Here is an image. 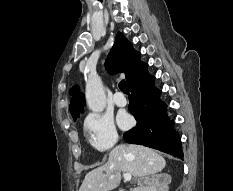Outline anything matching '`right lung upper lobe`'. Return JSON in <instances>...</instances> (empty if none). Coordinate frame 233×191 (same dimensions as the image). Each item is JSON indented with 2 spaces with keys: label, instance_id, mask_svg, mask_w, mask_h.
Returning <instances> with one entry per match:
<instances>
[{
  "label": "right lung upper lobe",
  "instance_id": "right-lung-upper-lobe-1",
  "mask_svg": "<svg viewBox=\"0 0 233 191\" xmlns=\"http://www.w3.org/2000/svg\"><path fill=\"white\" fill-rule=\"evenodd\" d=\"M141 63L140 53L133 49L131 43L122 33H118L106 60L105 65L108 71L112 74L125 73L128 82ZM70 94L74 95L69 106L73 116L83 111L84 95L79 92L77 85L72 88Z\"/></svg>",
  "mask_w": 233,
  "mask_h": 191
}]
</instances>
